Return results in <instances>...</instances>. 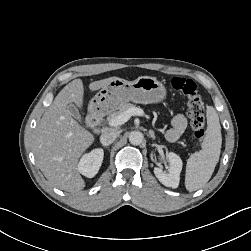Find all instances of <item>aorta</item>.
Listing matches in <instances>:
<instances>
[{
    "instance_id": "762f6f07",
    "label": "aorta",
    "mask_w": 251,
    "mask_h": 251,
    "mask_svg": "<svg viewBox=\"0 0 251 251\" xmlns=\"http://www.w3.org/2000/svg\"><path fill=\"white\" fill-rule=\"evenodd\" d=\"M144 136L140 131H132L129 134V142L132 145H140L143 142Z\"/></svg>"
}]
</instances>
